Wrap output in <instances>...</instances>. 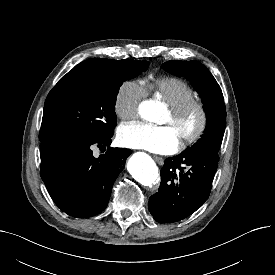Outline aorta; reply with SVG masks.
I'll use <instances>...</instances> for the list:
<instances>
[{"label": "aorta", "instance_id": "1", "mask_svg": "<svg viewBox=\"0 0 275 275\" xmlns=\"http://www.w3.org/2000/svg\"><path fill=\"white\" fill-rule=\"evenodd\" d=\"M140 114L149 121H158L161 116V109L154 101H148L140 106ZM129 172L141 184L150 186L159 179L158 168L155 162L143 154H135L128 163Z\"/></svg>", "mask_w": 275, "mask_h": 275}]
</instances>
